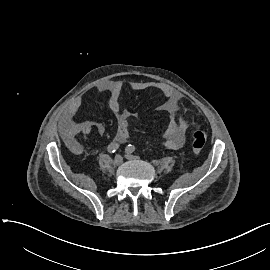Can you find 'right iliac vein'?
<instances>
[{
    "label": "right iliac vein",
    "mask_w": 270,
    "mask_h": 270,
    "mask_svg": "<svg viewBox=\"0 0 270 270\" xmlns=\"http://www.w3.org/2000/svg\"><path fill=\"white\" fill-rule=\"evenodd\" d=\"M122 161H123L122 156L121 155H116L114 160H113V164L115 166H119L122 163Z\"/></svg>",
    "instance_id": "obj_1"
}]
</instances>
